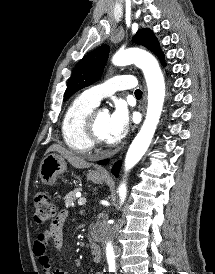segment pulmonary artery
Listing matches in <instances>:
<instances>
[{
	"instance_id": "1",
	"label": "pulmonary artery",
	"mask_w": 215,
	"mask_h": 274,
	"mask_svg": "<svg viewBox=\"0 0 215 274\" xmlns=\"http://www.w3.org/2000/svg\"><path fill=\"white\" fill-rule=\"evenodd\" d=\"M135 86L136 80L133 76L116 75L102 84L87 89L83 94L98 105L102 98L109 96L118 90L133 89Z\"/></svg>"
}]
</instances>
